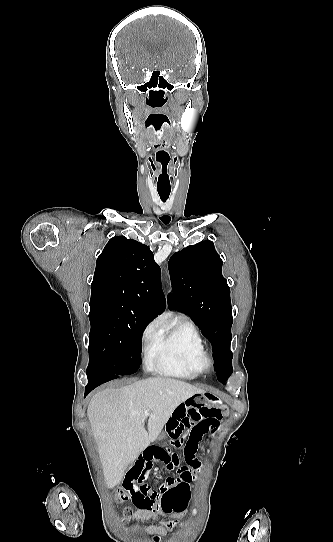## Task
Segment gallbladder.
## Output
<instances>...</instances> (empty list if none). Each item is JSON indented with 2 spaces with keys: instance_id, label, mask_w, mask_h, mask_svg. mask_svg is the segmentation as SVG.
<instances>
[{
  "instance_id": "gallbladder-1",
  "label": "gallbladder",
  "mask_w": 333,
  "mask_h": 542,
  "mask_svg": "<svg viewBox=\"0 0 333 542\" xmlns=\"http://www.w3.org/2000/svg\"><path fill=\"white\" fill-rule=\"evenodd\" d=\"M129 468H131V466H128V468H126V470H129Z\"/></svg>"
}]
</instances>
